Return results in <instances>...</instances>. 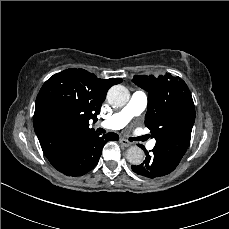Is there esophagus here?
Listing matches in <instances>:
<instances>
[{
	"label": "esophagus",
	"instance_id": "1",
	"mask_svg": "<svg viewBox=\"0 0 229 229\" xmlns=\"http://www.w3.org/2000/svg\"><path fill=\"white\" fill-rule=\"evenodd\" d=\"M119 142L124 146V147H130L131 146V142H129L128 140L124 139V138H120Z\"/></svg>",
	"mask_w": 229,
	"mask_h": 229
}]
</instances>
